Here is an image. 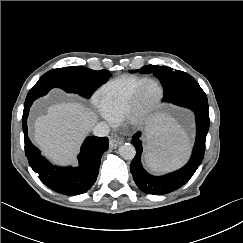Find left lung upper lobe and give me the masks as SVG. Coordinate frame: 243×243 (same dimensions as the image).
<instances>
[{"label":"left lung upper lobe","mask_w":243,"mask_h":243,"mask_svg":"<svg viewBox=\"0 0 243 243\" xmlns=\"http://www.w3.org/2000/svg\"><path fill=\"white\" fill-rule=\"evenodd\" d=\"M140 71L153 73L160 80L164 89V102L188 90L200 88L198 82L191 75L182 71H174L170 67L146 65Z\"/></svg>","instance_id":"obj_1"}]
</instances>
